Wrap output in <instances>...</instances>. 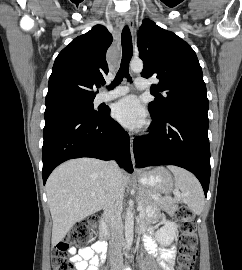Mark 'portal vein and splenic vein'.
Returning <instances> with one entry per match:
<instances>
[{"label": "portal vein and splenic vein", "instance_id": "obj_1", "mask_svg": "<svg viewBox=\"0 0 242 270\" xmlns=\"http://www.w3.org/2000/svg\"><path fill=\"white\" fill-rule=\"evenodd\" d=\"M178 195H180L179 193H177ZM138 210H141L142 209V205H138V208H137Z\"/></svg>", "mask_w": 242, "mask_h": 270}]
</instances>
